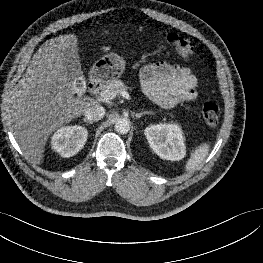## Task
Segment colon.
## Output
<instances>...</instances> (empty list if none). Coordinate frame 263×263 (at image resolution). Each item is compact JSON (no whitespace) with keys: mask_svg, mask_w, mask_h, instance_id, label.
Instances as JSON below:
<instances>
[{"mask_svg":"<svg viewBox=\"0 0 263 263\" xmlns=\"http://www.w3.org/2000/svg\"><path fill=\"white\" fill-rule=\"evenodd\" d=\"M165 40L177 51V53L187 59L194 54V46L192 42L180 36L177 33L165 32L163 34ZM202 118L206 124L214 126L218 123L220 116L219 106L214 102H207L202 107Z\"/></svg>","mask_w":263,"mask_h":263,"instance_id":"colon-1","label":"colon"}]
</instances>
